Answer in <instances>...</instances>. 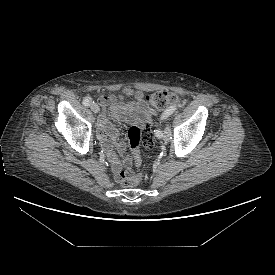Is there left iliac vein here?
<instances>
[{
  "label": "left iliac vein",
  "instance_id": "obj_1",
  "mask_svg": "<svg viewBox=\"0 0 275 275\" xmlns=\"http://www.w3.org/2000/svg\"><path fill=\"white\" fill-rule=\"evenodd\" d=\"M170 136H171V129L167 126L164 130L162 138L164 141H168L170 139Z\"/></svg>",
  "mask_w": 275,
  "mask_h": 275
}]
</instances>
